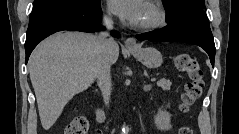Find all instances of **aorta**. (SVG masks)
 <instances>
[{"instance_id":"762f6f07","label":"aorta","mask_w":239,"mask_h":134,"mask_svg":"<svg viewBox=\"0 0 239 134\" xmlns=\"http://www.w3.org/2000/svg\"><path fill=\"white\" fill-rule=\"evenodd\" d=\"M121 131H122V134H127L128 128L125 127V126H123V127L121 128Z\"/></svg>"}]
</instances>
